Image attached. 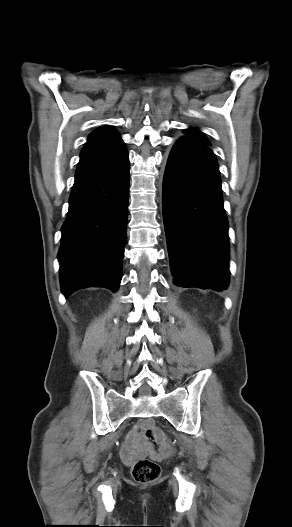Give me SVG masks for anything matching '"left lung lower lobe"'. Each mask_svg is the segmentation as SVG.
<instances>
[{
	"label": "left lung lower lobe",
	"instance_id": "0a47b994",
	"mask_svg": "<svg viewBox=\"0 0 292 527\" xmlns=\"http://www.w3.org/2000/svg\"><path fill=\"white\" fill-rule=\"evenodd\" d=\"M162 203L174 283L225 289L228 222L218 165L206 144L177 141L165 169Z\"/></svg>",
	"mask_w": 292,
	"mask_h": 527
}]
</instances>
